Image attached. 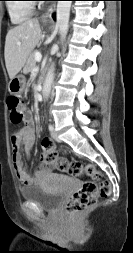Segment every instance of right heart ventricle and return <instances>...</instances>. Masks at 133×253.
Listing matches in <instances>:
<instances>
[{
    "label": "right heart ventricle",
    "mask_w": 133,
    "mask_h": 253,
    "mask_svg": "<svg viewBox=\"0 0 133 253\" xmlns=\"http://www.w3.org/2000/svg\"><path fill=\"white\" fill-rule=\"evenodd\" d=\"M8 12L13 23H22L33 14V5L26 0H13L8 3Z\"/></svg>",
    "instance_id": "1"
}]
</instances>
